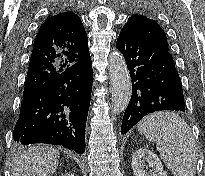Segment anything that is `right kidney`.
<instances>
[{"label":"right kidney","mask_w":205,"mask_h":176,"mask_svg":"<svg viewBox=\"0 0 205 176\" xmlns=\"http://www.w3.org/2000/svg\"><path fill=\"white\" fill-rule=\"evenodd\" d=\"M62 176H74L73 174H70V173H66V174H64V175H62Z\"/></svg>","instance_id":"right-kidney-1"}]
</instances>
